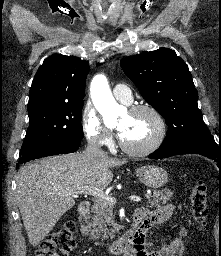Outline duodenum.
I'll return each mask as SVG.
<instances>
[{
    "label": "duodenum",
    "mask_w": 221,
    "mask_h": 256,
    "mask_svg": "<svg viewBox=\"0 0 221 256\" xmlns=\"http://www.w3.org/2000/svg\"><path fill=\"white\" fill-rule=\"evenodd\" d=\"M89 211H90L89 202L83 201L79 204L78 217L81 223V231L83 235L86 237L88 236V233L85 227V222L89 214ZM140 221H141L140 215L135 213L131 227L120 238L110 243L106 247L107 252L114 256L126 253V251L130 248V246L133 244V242L137 239L139 235Z\"/></svg>",
    "instance_id": "1"
}]
</instances>
